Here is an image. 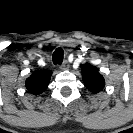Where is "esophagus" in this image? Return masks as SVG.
Returning a JSON list of instances; mask_svg holds the SVG:
<instances>
[{
    "label": "esophagus",
    "instance_id": "esophagus-1",
    "mask_svg": "<svg viewBox=\"0 0 133 133\" xmlns=\"http://www.w3.org/2000/svg\"><path fill=\"white\" fill-rule=\"evenodd\" d=\"M69 68V63L67 60H65L62 65L60 66L61 70H67Z\"/></svg>",
    "mask_w": 133,
    "mask_h": 133
}]
</instances>
